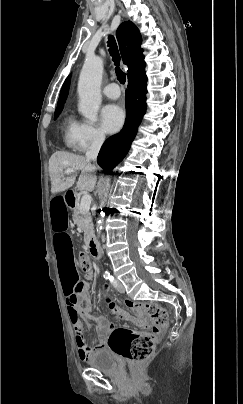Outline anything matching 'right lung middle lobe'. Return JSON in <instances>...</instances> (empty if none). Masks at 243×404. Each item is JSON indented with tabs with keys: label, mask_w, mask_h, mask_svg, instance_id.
<instances>
[{
	"label": "right lung middle lobe",
	"mask_w": 243,
	"mask_h": 404,
	"mask_svg": "<svg viewBox=\"0 0 243 404\" xmlns=\"http://www.w3.org/2000/svg\"><path fill=\"white\" fill-rule=\"evenodd\" d=\"M62 108L63 107H59V108H56V111H55V119L58 117V115L60 114V112L62 111Z\"/></svg>",
	"instance_id": "obj_1"
}]
</instances>
